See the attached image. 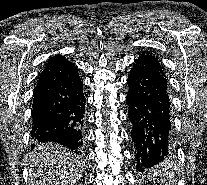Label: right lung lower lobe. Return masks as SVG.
I'll return each mask as SVG.
<instances>
[{
	"instance_id": "1",
	"label": "right lung lower lobe",
	"mask_w": 207,
	"mask_h": 185,
	"mask_svg": "<svg viewBox=\"0 0 207 185\" xmlns=\"http://www.w3.org/2000/svg\"><path fill=\"white\" fill-rule=\"evenodd\" d=\"M31 138L80 149L85 122L83 82L74 75L37 87L33 93ZM35 147V145H31Z\"/></svg>"
}]
</instances>
